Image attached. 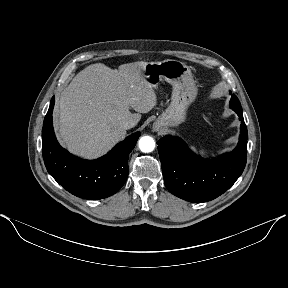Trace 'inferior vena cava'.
Instances as JSON below:
<instances>
[{
	"mask_svg": "<svg viewBox=\"0 0 288 288\" xmlns=\"http://www.w3.org/2000/svg\"><path fill=\"white\" fill-rule=\"evenodd\" d=\"M136 124H137L136 120L129 119L126 122H124L123 128L127 130V129H130V128H133L134 126H136Z\"/></svg>",
	"mask_w": 288,
	"mask_h": 288,
	"instance_id": "602c4592",
	"label": "inferior vena cava"
}]
</instances>
